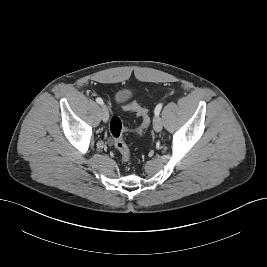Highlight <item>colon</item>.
Masks as SVG:
<instances>
[{
  "mask_svg": "<svg viewBox=\"0 0 267 267\" xmlns=\"http://www.w3.org/2000/svg\"><path fill=\"white\" fill-rule=\"evenodd\" d=\"M123 109L133 111L141 119L142 123L135 132L138 135H142L147 130L150 124V117L148 111L135 102H130L125 104L123 106ZM109 131L114 146L119 152L122 161L128 162L131 158V152L128 145L125 143L123 139L125 128L123 126L122 120L119 117L114 116L111 118L109 123Z\"/></svg>",
  "mask_w": 267,
  "mask_h": 267,
  "instance_id": "5ec220e1",
  "label": "colon"
}]
</instances>
